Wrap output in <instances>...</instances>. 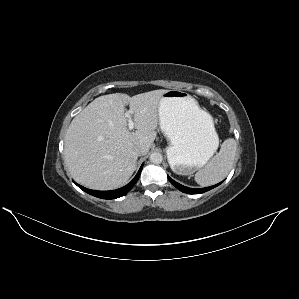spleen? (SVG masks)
Wrapping results in <instances>:
<instances>
[{
    "label": "spleen",
    "instance_id": "spleen-1",
    "mask_svg": "<svg viewBox=\"0 0 299 299\" xmlns=\"http://www.w3.org/2000/svg\"><path fill=\"white\" fill-rule=\"evenodd\" d=\"M237 144L233 138L226 139L220 151L195 174V181L200 186H210L223 180L233 167Z\"/></svg>",
    "mask_w": 299,
    "mask_h": 299
}]
</instances>
